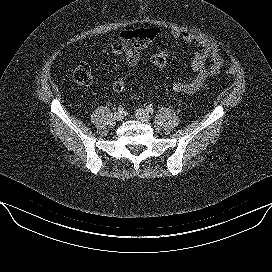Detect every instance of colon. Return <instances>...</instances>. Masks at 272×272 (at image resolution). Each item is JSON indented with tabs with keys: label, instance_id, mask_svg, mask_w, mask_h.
I'll return each instance as SVG.
<instances>
[{
	"label": "colon",
	"instance_id": "1",
	"mask_svg": "<svg viewBox=\"0 0 272 272\" xmlns=\"http://www.w3.org/2000/svg\"><path fill=\"white\" fill-rule=\"evenodd\" d=\"M158 34V30L155 27L150 28H140L134 30V37L139 39L143 46L148 47L151 41ZM151 64L159 69L163 70L167 67V56L162 53H156L151 56L150 59ZM229 75H234L235 70L233 68H229L227 70ZM74 81L80 85H87L92 81V71L90 66L87 63H81L78 65L73 72ZM125 89V83L122 80H116L113 83V90L115 92H122Z\"/></svg>",
	"mask_w": 272,
	"mask_h": 272
}]
</instances>
